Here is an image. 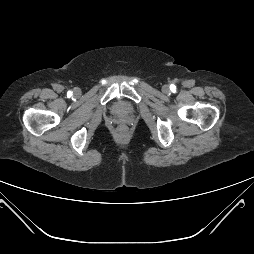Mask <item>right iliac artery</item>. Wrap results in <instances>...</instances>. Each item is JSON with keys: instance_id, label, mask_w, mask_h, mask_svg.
Segmentation results:
<instances>
[{"instance_id": "82829eb1", "label": "right iliac artery", "mask_w": 254, "mask_h": 254, "mask_svg": "<svg viewBox=\"0 0 254 254\" xmlns=\"http://www.w3.org/2000/svg\"><path fill=\"white\" fill-rule=\"evenodd\" d=\"M72 95L71 91H68V97H70Z\"/></svg>"}]
</instances>
